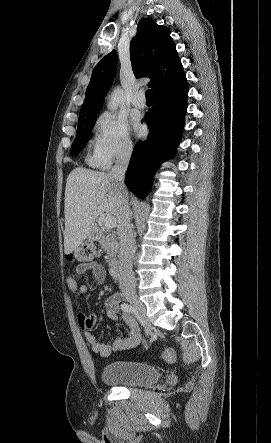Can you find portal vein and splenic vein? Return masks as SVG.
Segmentation results:
<instances>
[{"instance_id":"18ae733b","label":"portal vein and splenic vein","mask_w":271,"mask_h":443,"mask_svg":"<svg viewBox=\"0 0 271 443\" xmlns=\"http://www.w3.org/2000/svg\"><path fill=\"white\" fill-rule=\"evenodd\" d=\"M117 220L115 216H107L104 220L105 227H115Z\"/></svg>"}]
</instances>
